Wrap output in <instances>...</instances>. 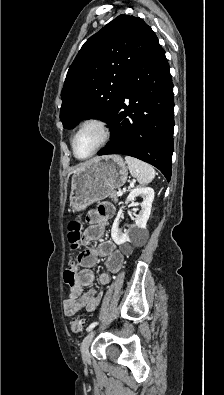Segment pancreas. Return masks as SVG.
<instances>
[{
  "label": "pancreas",
  "mask_w": 224,
  "mask_h": 395,
  "mask_svg": "<svg viewBox=\"0 0 224 395\" xmlns=\"http://www.w3.org/2000/svg\"><path fill=\"white\" fill-rule=\"evenodd\" d=\"M110 199L114 202L118 201V196H117L116 192H113L110 194Z\"/></svg>",
  "instance_id": "1"
}]
</instances>
